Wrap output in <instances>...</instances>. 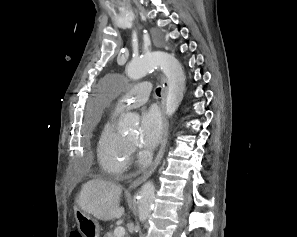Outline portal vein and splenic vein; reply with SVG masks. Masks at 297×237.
Returning a JSON list of instances; mask_svg holds the SVG:
<instances>
[{
    "instance_id": "18ae733b",
    "label": "portal vein and splenic vein",
    "mask_w": 297,
    "mask_h": 237,
    "mask_svg": "<svg viewBox=\"0 0 297 237\" xmlns=\"http://www.w3.org/2000/svg\"><path fill=\"white\" fill-rule=\"evenodd\" d=\"M125 235V229L123 227H117L114 230V236L115 237H124Z\"/></svg>"
}]
</instances>
